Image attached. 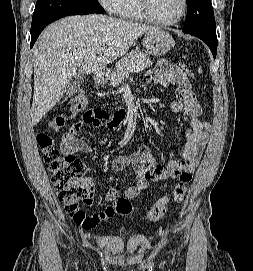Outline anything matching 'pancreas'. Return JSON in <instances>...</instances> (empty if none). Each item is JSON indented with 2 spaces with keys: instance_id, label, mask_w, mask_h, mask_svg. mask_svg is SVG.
<instances>
[{
  "instance_id": "cf45deb5",
  "label": "pancreas",
  "mask_w": 253,
  "mask_h": 271,
  "mask_svg": "<svg viewBox=\"0 0 253 271\" xmlns=\"http://www.w3.org/2000/svg\"><path fill=\"white\" fill-rule=\"evenodd\" d=\"M153 62L149 56L140 50L131 51L125 57L120 59L115 66V70L111 74L110 83L112 86H120L124 78L129 76L130 68L133 66L140 67V70H144L152 66Z\"/></svg>"
}]
</instances>
